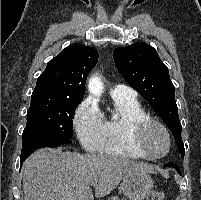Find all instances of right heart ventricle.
<instances>
[{
  "instance_id": "e07e8e85",
  "label": "right heart ventricle",
  "mask_w": 201,
  "mask_h": 200,
  "mask_svg": "<svg viewBox=\"0 0 201 200\" xmlns=\"http://www.w3.org/2000/svg\"><path fill=\"white\" fill-rule=\"evenodd\" d=\"M111 97L114 114L102 116V138L97 151L130 159H144L131 143L130 127L134 121L147 117V113L136 98Z\"/></svg>"
}]
</instances>
